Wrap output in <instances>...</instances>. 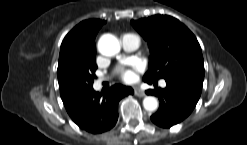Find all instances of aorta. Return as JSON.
Returning a JSON list of instances; mask_svg holds the SVG:
<instances>
[{
	"label": "aorta",
	"instance_id": "obj_1",
	"mask_svg": "<svg viewBox=\"0 0 247 145\" xmlns=\"http://www.w3.org/2000/svg\"><path fill=\"white\" fill-rule=\"evenodd\" d=\"M118 39L112 34H104L98 41V50L104 56H114L120 52ZM143 107L147 111H155L158 108V100L153 96H146Z\"/></svg>",
	"mask_w": 247,
	"mask_h": 145
}]
</instances>
